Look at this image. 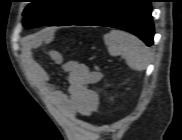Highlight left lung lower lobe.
Returning a JSON list of instances; mask_svg holds the SVG:
<instances>
[{
    "label": "left lung lower lobe",
    "instance_id": "obj_1",
    "mask_svg": "<svg viewBox=\"0 0 182 140\" xmlns=\"http://www.w3.org/2000/svg\"><path fill=\"white\" fill-rule=\"evenodd\" d=\"M152 0H103L70 25H94L123 29L153 45Z\"/></svg>",
    "mask_w": 182,
    "mask_h": 140
}]
</instances>
